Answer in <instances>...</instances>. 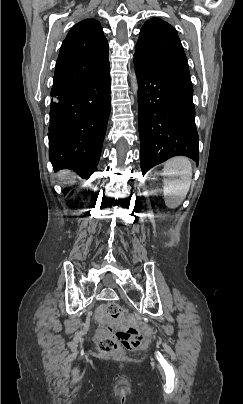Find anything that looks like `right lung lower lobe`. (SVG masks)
Instances as JSON below:
<instances>
[{
	"mask_svg": "<svg viewBox=\"0 0 243 404\" xmlns=\"http://www.w3.org/2000/svg\"><path fill=\"white\" fill-rule=\"evenodd\" d=\"M49 159L84 179L96 170L111 108L110 70L51 94Z\"/></svg>",
	"mask_w": 243,
	"mask_h": 404,
	"instance_id": "1",
	"label": "right lung lower lobe"
}]
</instances>
